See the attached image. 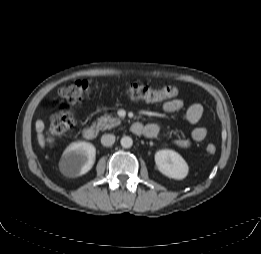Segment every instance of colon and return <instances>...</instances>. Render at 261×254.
<instances>
[{
  "label": "colon",
  "instance_id": "1",
  "mask_svg": "<svg viewBox=\"0 0 261 254\" xmlns=\"http://www.w3.org/2000/svg\"><path fill=\"white\" fill-rule=\"evenodd\" d=\"M90 91V84L87 80H76L64 87L60 91V97L68 104L80 102ZM178 90L170 84L154 88L142 83H131L127 88V95L132 99H142L146 101H163L175 97ZM75 125V118L71 113H59L52 117L48 126V135L50 137L60 136ZM205 151L208 155H214L217 148L214 144H207Z\"/></svg>",
  "mask_w": 261,
  "mask_h": 254
}]
</instances>
